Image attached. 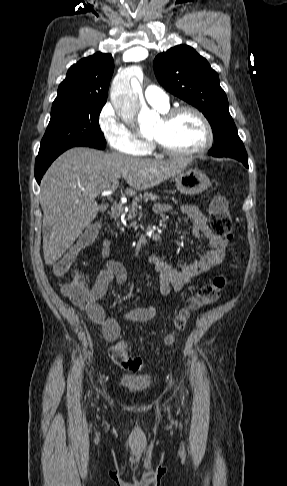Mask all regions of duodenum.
Returning a JSON list of instances; mask_svg holds the SVG:
<instances>
[{
  "instance_id": "410a0bca",
  "label": "duodenum",
  "mask_w": 287,
  "mask_h": 486,
  "mask_svg": "<svg viewBox=\"0 0 287 486\" xmlns=\"http://www.w3.org/2000/svg\"><path fill=\"white\" fill-rule=\"evenodd\" d=\"M123 211V206L121 203H114L112 206H111V209H110V216L112 218H117L120 216V214L122 213Z\"/></svg>"
}]
</instances>
